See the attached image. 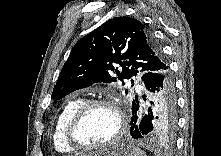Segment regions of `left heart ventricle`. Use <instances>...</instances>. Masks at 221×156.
Listing matches in <instances>:
<instances>
[{
	"label": "left heart ventricle",
	"instance_id": "1",
	"mask_svg": "<svg viewBox=\"0 0 221 156\" xmlns=\"http://www.w3.org/2000/svg\"><path fill=\"white\" fill-rule=\"evenodd\" d=\"M118 121L113 110L96 107L90 110L79 123L76 137L85 144H100L116 132Z\"/></svg>",
	"mask_w": 221,
	"mask_h": 156
}]
</instances>
